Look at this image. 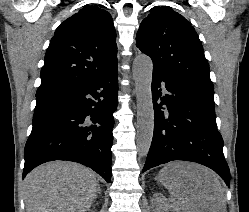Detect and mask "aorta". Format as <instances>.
I'll return each mask as SVG.
<instances>
[{"label":"aorta","instance_id":"1","mask_svg":"<svg viewBox=\"0 0 249 212\" xmlns=\"http://www.w3.org/2000/svg\"><path fill=\"white\" fill-rule=\"evenodd\" d=\"M132 69L137 99V152L140 157H144L150 149L154 132L152 60L146 55H138L134 59Z\"/></svg>","mask_w":249,"mask_h":212}]
</instances>
